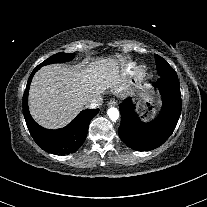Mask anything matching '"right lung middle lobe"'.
<instances>
[{"instance_id":"right-lung-middle-lobe-1","label":"right lung middle lobe","mask_w":207,"mask_h":207,"mask_svg":"<svg viewBox=\"0 0 207 207\" xmlns=\"http://www.w3.org/2000/svg\"><path fill=\"white\" fill-rule=\"evenodd\" d=\"M74 54L73 53H58L50 58L46 59L44 62H42L39 66L45 65L48 63H54V62H64V61H69L73 59Z\"/></svg>"}]
</instances>
